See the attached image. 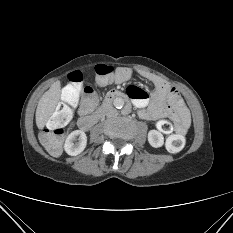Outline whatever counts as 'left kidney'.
<instances>
[{"mask_svg":"<svg viewBox=\"0 0 233 233\" xmlns=\"http://www.w3.org/2000/svg\"><path fill=\"white\" fill-rule=\"evenodd\" d=\"M148 142L154 148H160L164 144V137L161 132L157 130H150L148 132Z\"/></svg>","mask_w":233,"mask_h":233,"instance_id":"5707ae66","label":"left kidney"}]
</instances>
